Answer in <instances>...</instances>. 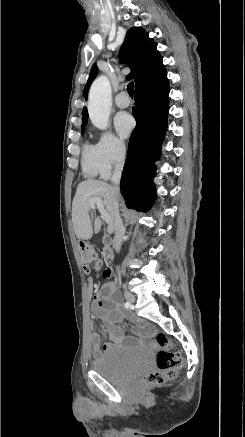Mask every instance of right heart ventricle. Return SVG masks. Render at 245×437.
Segmentation results:
<instances>
[{
  "label": "right heart ventricle",
  "instance_id": "e07e8e85",
  "mask_svg": "<svg viewBox=\"0 0 245 437\" xmlns=\"http://www.w3.org/2000/svg\"><path fill=\"white\" fill-rule=\"evenodd\" d=\"M83 172L90 177L100 174V167L97 162L95 146L85 143L82 151Z\"/></svg>",
  "mask_w": 245,
  "mask_h": 437
}]
</instances>
